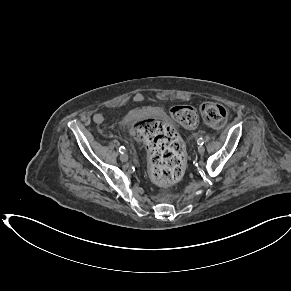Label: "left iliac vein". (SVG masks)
<instances>
[{"instance_id": "1", "label": "left iliac vein", "mask_w": 291, "mask_h": 291, "mask_svg": "<svg viewBox=\"0 0 291 291\" xmlns=\"http://www.w3.org/2000/svg\"><path fill=\"white\" fill-rule=\"evenodd\" d=\"M198 152H199V154H203V153L205 152V147L202 146V145H200V146L198 147Z\"/></svg>"}]
</instances>
